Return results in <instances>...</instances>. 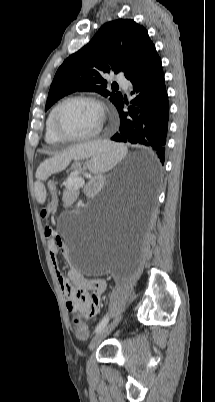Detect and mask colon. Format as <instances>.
<instances>
[{
    "mask_svg": "<svg viewBox=\"0 0 215 402\" xmlns=\"http://www.w3.org/2000/svg\"><path fill=\"white\" fill-rule=\"evenodd\" d=\"M49 189L53 193V191L55 189V185L53 182L49 183ZM56 208H57V203L52 200L50 205L43 208V210L41 212L42 217L47 218L50 214H52L56 211ZM91 311H94V307L91 308ZM73 323H74V329H75L76 335L79 338H86L88 335V329H87L86 325L84 323H82L81 319L78 316H75L73 319Z\"/></svg>",
    "mask_w": 215,
    "mask_h": 402,
    "instance_id": "colon-1",
    "label": "colon"
}]
</instances>
